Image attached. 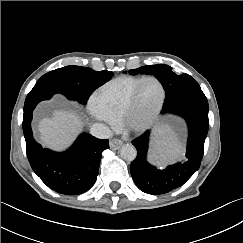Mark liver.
I'll return each mask as SVG.
<instances>
[{"mask_svg": "<svg viewBox=\"0 0 243 243\" xmlns=\"http://www.w3.org/2000/svg\"><path fill=\"white\" fill-rule=\"evenodd\" d=\"M83 122L75 111L55 109L51 117H44L38 123L39 141L54 150L68 147L81 132Z\"/></svg>", "mask_w": 243, "mask_h": 243, "instance_id": "6515ba94", "label": "liver"}]
</instances>
